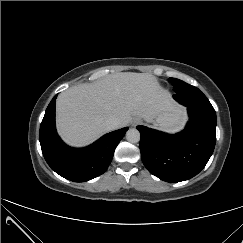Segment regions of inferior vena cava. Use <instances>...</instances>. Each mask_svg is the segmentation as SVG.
<instances>
[{"instance_id":"inferior-vena-cava-1","label":"inferior vena cava","mask_w":243,"mask_h":243,"mask_svg":"<svg viewBox=\"0 0 243 243\" xmlns=\"http://www.w3.org/2000/svg\"><path fill=\"white\" fill-rule=\"evenodd\" d=\"M120 120L116 117H112L106 120V126L110 130H114L119 127Z\"/></svg>"}]
</instances>
